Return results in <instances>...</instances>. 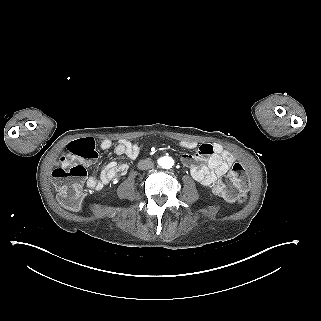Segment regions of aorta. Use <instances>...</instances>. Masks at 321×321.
I'll use <instances>...</instances> for the list:
<instances>
[{
  "instance_id": "aorta-1",
  "label": "aorta",
  "mask_w": 321,
  "mask_h": 321,
  "mask_svg": "<svg viewBox=\"0 0 321 321\" xmlns=\"http://www.w3.org/2000/svg\"><path fill=\"white\" fill-rule=\"evenodd\" d=\"M160 165L166 169L172 168L174 165V160L171 157L165 156L160 159Z\"/></svg>"
}]
</instances>
